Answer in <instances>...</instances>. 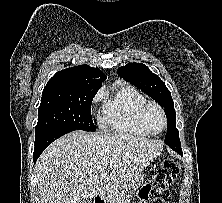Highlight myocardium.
<instances>
[{
    "instance_id": "1",
    "label": "myocardium",
    "mask_w": 222,
    "mask_h": 203,
    "mask_svg": "<svg viewBox=\"0 0 222 203\" xmlns=\"http://www.w3.org/2000/svg\"><path fill=\"white\" fill-rule=\"evenodd\" d=\"M150 107H154L156 108L162 115V118H163V128L158 131V132H154L152 131L149 126L147 125L146 123V120H145V114H146V111L148 108ZM137 119H138V122L139 124L141 125V127L146 130L149 134L151 135H159L161 134L167 127V116H166V113L164 111V109L162 108L161 105H159L158 103L154 102V101H148L146 100L145 102H143L139 107H138V110H137Z\"/></svg>"
}]
</instances>
